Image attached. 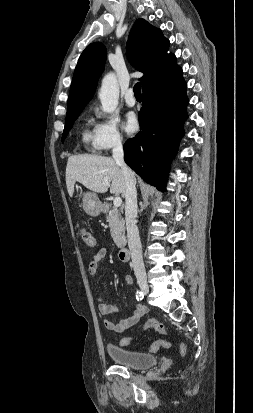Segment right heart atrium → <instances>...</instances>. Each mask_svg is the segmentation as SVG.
I'll return each instance as SVG.
<instances>
[{"label":"right heart atrium","instance_id":"d8ad5b80","mask_svg":"<svg viewBox=\"0 0 253 413\" xmlns=\"http://www.w3.org/2000/svg\"><path fill=\"white\" fill-rule=\"evenodd\" d=\"M98 121L93 128L94 145L99 151H110L119 148L124 143L117 119L111 115L96 112Z\"/></svg>","mask_w":253,"mask_h":413}]
</instances>
